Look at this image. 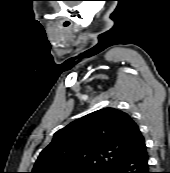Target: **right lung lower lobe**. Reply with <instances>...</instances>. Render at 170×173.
Here are the masks:
<instances>
[{"mask_svg": "<svg viewBox=\"0 0 170 173\" xmlns=\"http://www.w3.org/2000/svg\"><path fill=\"white\" fill-rule=\"evenodd\" d=\"M104 173H150L146 145L115 161Z\"/></svg>", "mask_w": 170, "mask_h": 173, "instance_id": "1", "label": "right lung lower lobe"}]
</instances>
